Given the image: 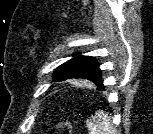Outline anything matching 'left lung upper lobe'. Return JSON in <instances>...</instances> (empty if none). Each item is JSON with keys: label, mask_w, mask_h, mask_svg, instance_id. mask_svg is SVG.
<instances>
[{"label": "left lung upper lobe", "mask_w": 153, "mask_h": 134, "mask_svg": "<svg viewBox=\"0 0 153 134\" xmlns=\"http://www.w3.org/2000/svg\"><path fill=\"white\" fill-rule=\"evenodd\" d=\"M87 79L98 87H104L101 79L99 64L93 57L77 56L57 68L53 79L61 82L67 79Z\"/></svg>", "instance_id": "left-lung-upper-lobe-1"}]
</instances>
